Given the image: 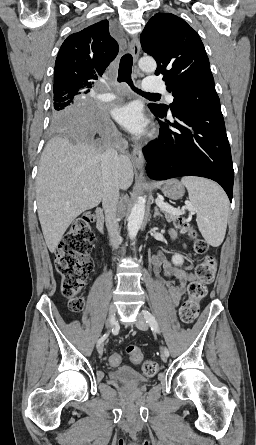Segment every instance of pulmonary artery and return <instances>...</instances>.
I'll list each match as a JSON object with an SVG mask.
<instances>
[{
  "label": "pulmonary artery",
  "instance_id": "1",
  "mask_svg": "<svg viewBox=\"0 0 256 445\" xmlns=\"http://www.w3.org/2000/svg\"><path fill=\"white\" fill-rule=\"evenodd\" d=\"M143 88L146 92H163L165 89L163 81L159 77H147L144 80ZM116 98L114 94L106 93L102 95L104 101H112ZM168 102H172L173 98L167 95Z\"/></svg>",
  "mask_w": 256,
  "mask_h": 445
}]
</instances>
